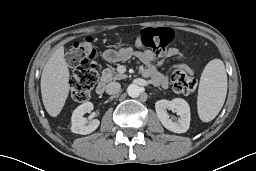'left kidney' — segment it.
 I'll return each mask as SVG.
<instances>
[{"instance_id": "1", "label": "left kidney", "mask_w": 256, "mask_h": 171, "mask_svg": "<svg viewBox=\"0 0 256 171\" xmlns=\"http://www.w3.org/2000/svg\"><path fill=\"white\" fill-rule=\"evenodd\" d=\"M155 110L162 125L174 132L184 133L190 126V107L189 104L181 98L169 100H159L155 103ZM167 110H171L178 115V120L170 118Z\"/></svg>"}]
</instances>
